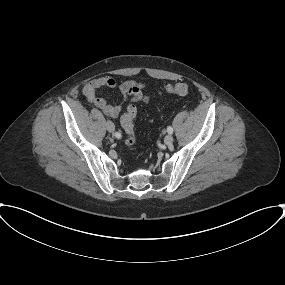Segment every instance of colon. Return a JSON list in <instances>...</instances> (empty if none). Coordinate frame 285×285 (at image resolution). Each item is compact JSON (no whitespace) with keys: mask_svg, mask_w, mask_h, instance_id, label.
<instances>
[{"mask_svg":"<svg viewBox=\"0 0 285 285\" xmlns=\"http://www.w3.org/2000/svg\"><path fill=\"white\" fill-rule=\"evenodd\" d=\"M165 91L169 94L187 95L189 86L186 83L179 82L173 85H168ZM137 115V108L134 105H129L126 112L121 116V126L127 134L126 144L134 147L136 144V136L134 129V119Z\"/></svg>","mask_w":285,"mask_h":285,"instance_id":"1","label":"colon"}]
</instances>
